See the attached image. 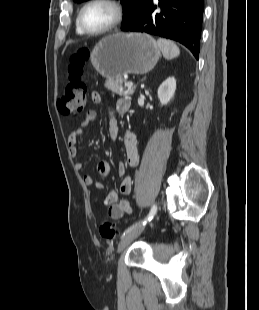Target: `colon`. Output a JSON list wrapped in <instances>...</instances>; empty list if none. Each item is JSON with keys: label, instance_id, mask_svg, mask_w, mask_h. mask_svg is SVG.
<instances>
[{"label": "colon", "instance_id": "colon-1", "mask_svg": "<svg viewBox=\"0 0 259 310\" xmlns=\"http://www.w3.org/2000/svg\"><path fill=\"white\" fill-rule=\"evenodd\" d=\"M89 51L80 49L72 54L67 67L69 81L59 100V108L66 114H80L84 111L87 102V87L82 76L87 65ZM99 234L105 240H113L119 236L117 227L108 221L99 225Z\"/></svg>", "mask_w": 259, "mask_h": 310}]
</instances>
